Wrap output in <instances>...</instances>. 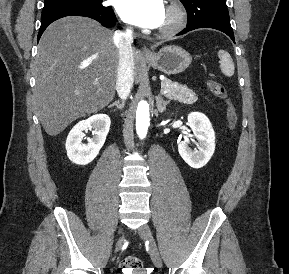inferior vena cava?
<instances>
[{
    "mask_svg": "<svg viewBox=\"0 0 289 274\" xmlns=\"http://www.w3.org/2000/svg\"><path fill=\"white\" fill-rule=\"evenodd\" d=\"M113 40L119 51V68L117 73L116 91L119 97L125 100L133 86V31H116Z\"/></svg>",
    "mask_w": 289,
    "mask_h": 274,
    "instance_id": "602c4592",
    "label": "inferior vena cava"
}]
</instances>
